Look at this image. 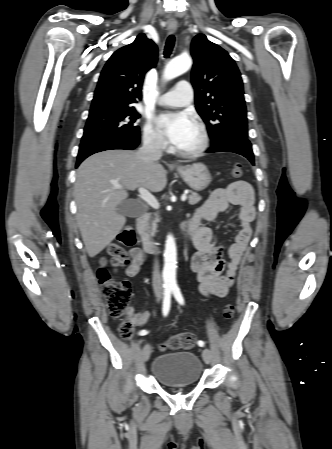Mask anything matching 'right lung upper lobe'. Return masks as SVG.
I'll use <instances>...</instances> for the list:
<instances>
[{"label":"right lung upper lobe","mask_w":332,"mask_h":449,"mask_svg":"<svg viewBox=\"0 0 332 449\" xmlns=\"http://www.w3.org/2000/svg\"><path fill=\"white\" fill-rule=\"evenodd\" d=\"M157 55V46L144 34L114 52L101 72L90 113L134 108L142 97L144 76L155 67Z\"/></svg>","instance_id":"right-lung-upper-lobe-1"}]
</instances>
